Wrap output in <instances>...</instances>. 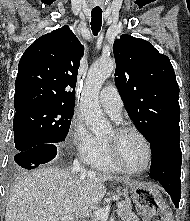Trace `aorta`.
<instances>
[{
  "label": "aorta",
  "mask_w": 190,
  "mask_h": 221,
  "mask_svg": "<svg viewBox=\"0 0 190 221\" xmlns=\"http://www.w3.org/2000/svg\"><path fill=\"white\" fill-rule=\"evenodd\" d=\"M114 70V60H99L90 67L87 75L80 111L87 127L95 135H103L110 129V123L102 113L98 97L103 83Z\"/></svg>",
  "instance_id": "aorta-1"
}]
</instances>
